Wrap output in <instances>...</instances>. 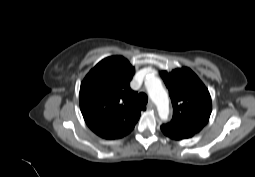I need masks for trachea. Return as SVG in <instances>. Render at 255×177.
<instances>
[{"instance_id":"obj_1","label":"trachea","mask_w":255,"mask_h":177,"mask_svg":"<svg viewBox=\"0 0 255 177\" xmlns=\"http://www.w3.org/2000/svg\"><path fill=\"white\" fill-rule=\"evenodd\" d=\"M137 101H138L139 104L146 105L147 102H148V97L145 93H140L137 96Z\"/></svg>"}]
</instances>
